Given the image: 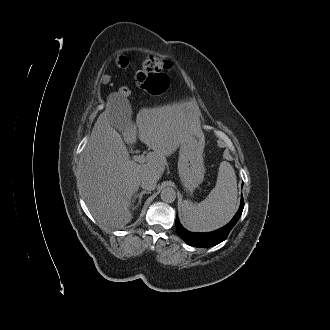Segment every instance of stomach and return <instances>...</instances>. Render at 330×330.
I'll return each mask as SVG.
<instances>
[{"mask_svg":"<svg viewBox=\"0 0 330 330\" xmlns=\"http://www.w3.org/2000/svg\"><path fill=\"white\" fill-rule=\"evenodd\" d=\"M203 149L204 146L198 140L185 141L180 144L178 173L182 186L190 194L204 179Z\"/></svg>","mask_w":330,"mask_h":330,"instance_id":"stomach-1","label":"stomach"}]
</instances>
